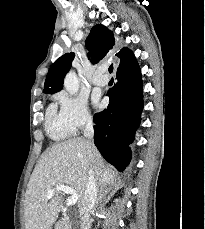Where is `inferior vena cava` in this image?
<instances>
[{"instance_id": "602c4592", "label": "inferior vena cava", "mask_w": 205, "mask_h": 229, "mask_svg": "<svg viewBox=\"0 0 205 229\" xmlns=\"http://www.w3.org/2000/svg\"><path fill=\"white\" fill-rule=\"evenodd\" d=\"M84 136L89 139H92L94 136L93 121L91 117H88L86 120ZM96 200H97L96 177L93 168L91 167L88 171V180L86 184V189L79 205L81 229L90 228V211L95 206Z\"/></svg>"}]
</instances>
